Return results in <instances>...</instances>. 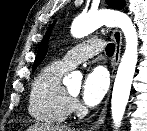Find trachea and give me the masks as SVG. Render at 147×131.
I'll return each mask as SVG.
<instances>
[{
    "label": "trachea",
    "mask_w": 147,
    "mask_h": 131,
    "mask_svg": "<svg viewBox=\"0 0 147 131\" xmlns=\"http://www.w3.org/2000/svg\"><path fill=\"white\" fill-rule=\"evenodd\" d=\"M114 51H115V45L112 44V43H109V44L106 46V54H107L108 56H112L113 53H114Z\"/></svg>",
    "instance_id": "1"
}]
</instances>
